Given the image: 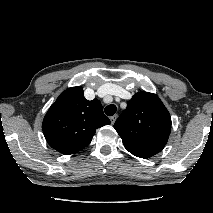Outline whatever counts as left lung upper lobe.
Returning <instances> with one entry per match:
<instances>
[{"label":"left lung upper lobe","instance_id":"1","mask_svg":"<svg viewBox=\"0 0 213 213\" xmlns=\"http://www.w3.org/2000/svg\"><path fill=\"white\" fill-rule=\"evenodd\" d=\"M114 128L130 153L149 158L166 145L171 132V117L157 95L138 92L127 103Z\"/></svg>","mask_w":213,"mask_h":213}]
</instances>
